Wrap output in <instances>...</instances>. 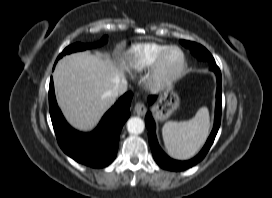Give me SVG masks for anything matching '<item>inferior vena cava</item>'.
I'll use <instances>...</instances> for the list:
<instances>
[{
    "label": "inferior vena cava",
    "mask_w": 272,
    "mask_h": 198,
    "mask_svg": "<svg viewBox=\"0 0 272 198\" xmlns=\"http://www.w3.org/2000/svg\"><path fill=\"white\" fill-rule=\"evenodd\" d=\"M127 91V81L123 80L120 84L114 86L112 90H110L107 95L113 98H117L119 95L125 93Z\"/></svg>",
    "instance_id": "1"
}]
</instances>
